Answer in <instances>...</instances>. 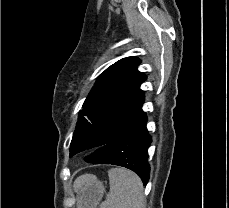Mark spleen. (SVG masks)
Wrapping results in <instances>:
<instances>
[{
    "label": "spleen",
    "mask_w": 229,
    "mask_h": 208,
    "mask_svg": "<svg viewBox=\"0 0 229 208\" xmlns=\"http://www.w3.org/2000/svg\"><path fill=\"white\" fill-rule=\"evenodd\" d=\"M108 176L110 192L101 208H145L143 184L136 174L125 168H111Z\"/></svg>",
    "instance_id": "1"
}]
</instances>
